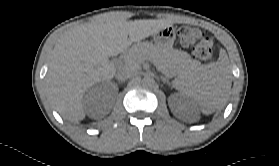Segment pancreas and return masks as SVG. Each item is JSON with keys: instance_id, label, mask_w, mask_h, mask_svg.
<instances>
[{"instance_id": "pancreas-1", "label": "pancreas", "mask_w": 279, "mask_h": 166, "mask_svg": "<svg viewBox=\"0 0 279 166\" xmlns=\"http://www.w3.org/2000/svg\"><path fill=\"white\" fill-rule=\"evenodd\" d=\"M146 59L153 60L159 70L167 75L185 74L200 65L198 61L192 60L186 52L160 48L149 42H141L132 46L125 54L123 64L124 67L137 70Z\"/></svg>"}]
</instances>
